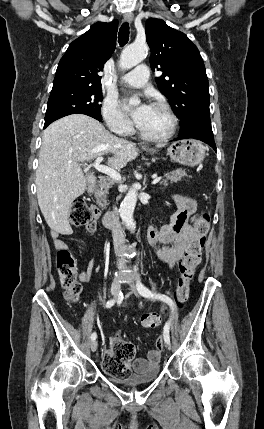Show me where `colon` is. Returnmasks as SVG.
I'll return each mask as SVG.
<instances>
[{"mask_svg": "<svg viewBox=\"0 0 264 429\" xmlns=\"http://www.w3.org/2000/svg\"><path fill=\"white\" fill-rule=\"evenodd\" d=\"M98 213L97 209L90 207L84 200H76L70 210V221L74 226L88 224L92 217ZM193 225L200 233V239L191 244L179 263V277L174 291L176 307L182 309L190 293L191 282L194 278L196 268L202 259L204 237L202 236L209 226V215L202 213L193 218ZM56 267L65 297L71 303L79 301L82 287L77 280V264L74 256L67 249H60L56 255ZM161 314L156 312L145 313L141 317L142 326L154 328L161 322ZM155 346L162 350L164 342L162 337L157 338ZM134 347L127 341H114L111 354H105L102 360L103 370L116 377H126L130 374L129 363L134 357Z\"/></svg>", "mask_w": 264, "mask_h": 429, "instance_id": "obj_1", "label": "colon"}]
</instances>
